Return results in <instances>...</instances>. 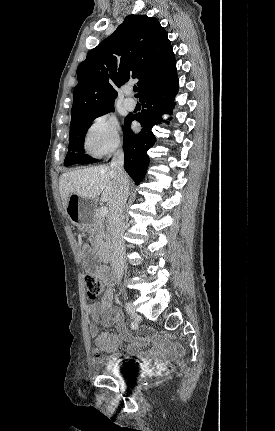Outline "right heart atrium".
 I'll use <instances>...</instances> for the list:
<instances>
[{"label":"right heart atrium","instance_id":"obj_1","mask_svg":"<svg viewBox=\"0 0 275 431\" xmlns=\"http://www.w3.org/2000/svg\"><path fill=\"white\" fill-rule=\"evenodd\" d=\"M121 143L119 123L110 113L94 118L84 136V148L94 157H102L116 151Z\"/></svg>","mask_w":275,"mask_h":431}]
</instances>
